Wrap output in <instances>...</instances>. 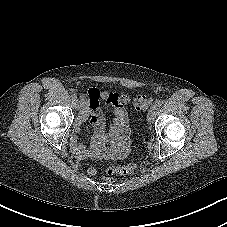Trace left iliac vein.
Returning <instances> with one entry per match:
<instances>
[{
	"label": "left iliac vein",
	"mask_w": 227,
	"mask_h": 227,
	"mask_svg": "<svg viewBox=\"0 0 227 227\" xmlns=\"http://www.w3.org/2000/svg\"><path fill=\"white\" fill-rule=\"evenodd\" d=\"M157 109H158V107H157L156 105H153V106L149 109V111H148V113H147V120H148L149 123H152L153 120L155 119Z\"/></svg>",
	"instance_id": "obj_1"
}]
</instances>
